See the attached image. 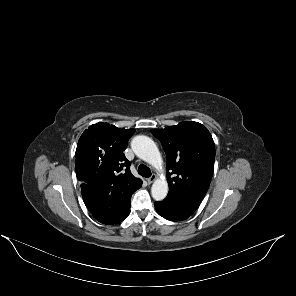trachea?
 <instances>
[{
    "label": "trachea",
    "mask_w": 296,
    "mask_h": 296,
    "mask_svg": "<svg viewBox=\"0 0 296 296\" xmlns=\"http://www.w3.org/2000/svg\"><path fill=\"white\" fill-rule=\"evenodd\" d=\"M138 173L141 176L146 177V178H148V177L151 176L150 169L146 165H143V164L139 165V167H138Z\"/></svg>",
    "instance_id": "trachea-1"
}]
</instances>
